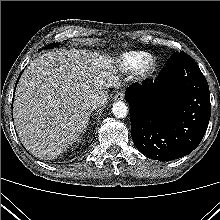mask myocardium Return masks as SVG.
Returning a JSON list of instances; mask_svg holds the SVG:
<instances>
[{
    "label": "myocardium",
    "instance_id": "myocardium-1",
    "mask_svg": "<svg viewBox=\"0 0 220 220\" xmlns=\"http://www.w3.org/2000/svg\"><path fill=\"white\" fill-rule=\"evenodd\" d=\"M156 67V59L152 55H146L138 66L135 68V76L138 80L142 81L149 78L154 72Z\"/></svg>",
    "mask_w": 220,
    "mask_h": 220
}]
</instances>
